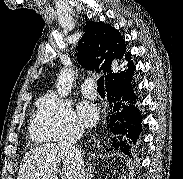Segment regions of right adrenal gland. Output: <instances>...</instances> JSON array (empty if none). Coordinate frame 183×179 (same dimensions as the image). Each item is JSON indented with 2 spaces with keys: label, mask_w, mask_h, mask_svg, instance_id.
Here are the masks:
<instances>
[{
  "label": "right adrenal gland",
  "mask_w": 183,
  "mask_h": 179,
  "mask_svg": "<svg viewBox=\"0 0 183 179\" xmlns=\"http://www.w3.org/2000/svg\"><path fill=\"white\" fill-rule=\"evenodd\" d=\"M94 174V167L90 165L86 168V179H92Z\"/></svg>",
  "instance_id": "2a0ac1e0"
}]
</instances>
